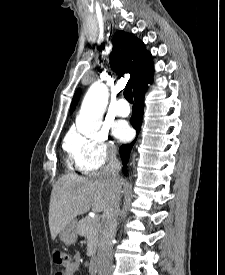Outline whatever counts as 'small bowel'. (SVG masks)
Wrapping results in <instances>:
<instances>
[{"instance_id": "c3829d8e", "label": "small bowel", "mask_w": 225, "mask_h": 275, "mask_svg": "<svg viewBox=\"0 0 225 275\" xmlns=\"http://www.w3.org/2000/svg\"><path fill=\"white\" fill-rule=\"evenodd\" d=\"M81 256L79 253H76L73 257V261L68 265L64 271L57 273V275H76L79 270Z\"/></svg>"}]
</instances>
